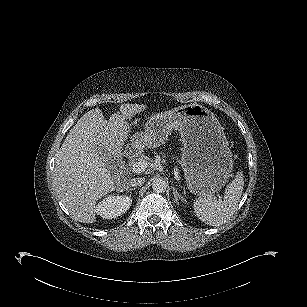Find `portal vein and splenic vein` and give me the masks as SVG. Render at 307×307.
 Segmentation results:
<instances>
[{"label":"portal vein and splenic vein","mask_w":307,"mask_h":307,"mask_svg":"<svg viewBox=\"0 0 307 307\" xmlns=\"http://www.w3.org/2000/svg\"><path fill=\"white\" fill-rule=\"evenodd\" d=\"M147 165H148L147 162L139 161L132 165V171L135 173H141L147 168Z\"/></svg>","instance_id":"obj_1"}]
</instances>
